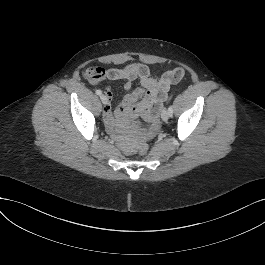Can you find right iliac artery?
Here are the masks:
<instances>
[{
  "instance_id": "obj_1",
  "label": "right iliac artery",
  "mask_w": 265,
  "mask_h": 265,
  "mask_svg": "<svg viewBox=\"0 0 265 265\" xmlns=\"http://www.w3.org/2000/svg\"><path fill=\"white\" fill-rule=\"evenodd\" d=\"M96 94L101 96L102 95V91L101 90H96Z\"/></svg>"
}]
</instances>
